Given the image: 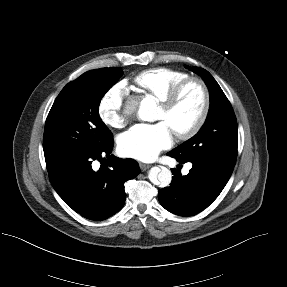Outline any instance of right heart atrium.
Listing matches in <instances>:
<instances>
[{
    "label": "right heart atrium",
    "instance_id": "d8ad5b80",
    "mask_svg": "<svg viewBox=\"0 0 287 287\" xmlns=\"http://www.w3.org/2000/svg\"><path fill=\"white\" fill-rule=\"evenodd\" d=\"M127 95V85L124 82H118L101 97L98 104V115L106 126L124 127L126 124L124 105Z\"/></svg>",
    "mask_w": 287,
    "mask_h": 287
}]
</instances>
